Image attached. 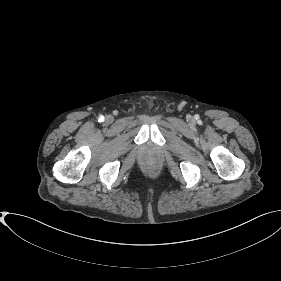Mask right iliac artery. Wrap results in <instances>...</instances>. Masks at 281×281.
<instances>
[{
  "instance_id": "82829eb1",
  "label": "right iliac artery",
  "mask_w": 281,
  "mask_h": 281,
  "mask_svg": "<svg viewBox=\"0 0 281 281\" xmlns=\"http://www.w3.org/2000/svg\"><path fill=\"white\" fill-rule=\"evenodd\" d=\"M98 121H99V122L104 121V117H103V116H99Z\"/></svg>"
}]
</instances>
